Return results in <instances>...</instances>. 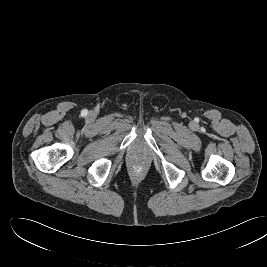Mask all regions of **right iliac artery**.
<instances>
[{"label":"right iliac artery","mask_w":267,"mask_h":267,"mask_svg":"<svg viewBox=\"0 0 267 267\" xmlns=\"http://www.w3.org/2000/svg\"><path fill=\"white\" fill-rule=\"evenodd\" d=\"M87 114H88L87 109H83V110L81 111V115H82V116H86Z\"/></svg>","instance_id":"1"}]
</instances>
